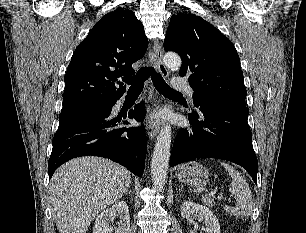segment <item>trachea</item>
Listing matches in <instances>:
<instances>
[{
  "label": "trachea",
  "mask_w": 306,
  "mask_h": 233,
  "mask_svg": "<svg viewBox=\"0 0 306 233\" xmlns=\"http://www.w3.org/2000/svg\"><path fill=\"white\" fill-rule=\"evenodd\" d=\"M151 76L155 88L162 94L180 95L170 88L164 81L160 73L156 72L154 67H142L135 76L124 78L123 81L130 85L129 92H141L144 87V82Z\"/></svg>",
  "instance_id": "3493384b"
}]
</instances>
